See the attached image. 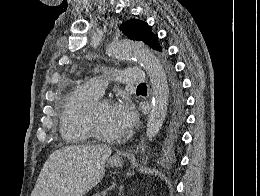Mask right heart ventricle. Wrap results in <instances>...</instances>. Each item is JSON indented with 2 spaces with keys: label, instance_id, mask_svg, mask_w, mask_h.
<instances>
[{
  "label": "right heart ventricle",
  "instance_id": "obj_1",
  "mask_svg": "<svg viewBox=\"0 0 260 196\" xmlns=\"http://www.w3.org/2000/svg\"><path fill=\"white\" fill-rule=\"evenodd\" d=\"M100 97L90 84H82L74 88L66 102L61 121V133L67 143L83 144L93 138L94 135L87 129L85 121L92 104Z\"/></svg>",
  "mask_w": 260,
  "mask_h": 196
}]
</instances>
